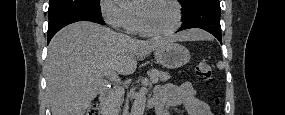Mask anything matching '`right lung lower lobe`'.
Wrapping results in <instances>:
<instances>
[{
    "label": "right lung lower lobe",
    "instance_id": "98d812e1",
    "mask_svg": "<svg viewBox=\"0 0 285 115\" xmlns=\"http://www.w3.org/2000/svg\"><path fill=\"white\" fill-rule=\"evenodd\" d=\"M82 20H88L99 24H105L101 14L87 11H65L49 18L48 43L51 38L64 26Z\"/></svg>",
    "mask_w": 285,
    "mask_h": 115
}]
</instances>
